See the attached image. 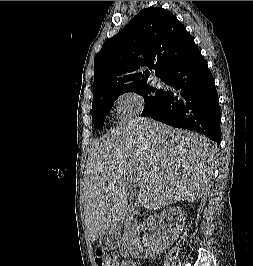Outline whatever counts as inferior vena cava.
<instances>
[{
  "mask_svg": "<svg viewBox=\"0 0 253 266\" xmlns=\"http://www.w3.org/2000/svg\"><path fill=\"white\" fill-rule=\"evenodd\" d=\"M127 221H128V224L130 225L131 217L128 214H127ZM129 230H131L130 231V233H131L133 231V227H131Z\"/></svg>",
  "mask_w": 253,
  "mask_h": 266,
  "instance_id": "obj_1",
  "label": "inferior vena cava"
}]
</instances>
